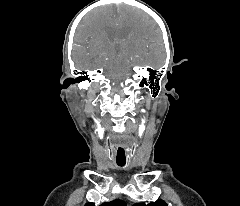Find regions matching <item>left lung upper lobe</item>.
Here are the masks:
<instances>
[{
	"label": "left lung upper lobe",
	"instance_id": "left-lung-upper-lobe-1",
	"mask_svg": "<svg viewBox=\"0 0 240 206\" xmlns=\"http://www.w3.org/2000/svg\"><path fill=\"white\" fill-rule=\"evenodd\" d=\"M133 206H167V204L163 200H157L156 202H152V203H149V204L136 203Z\"/></svg>",
	"mask_w": 240,
	"mask_h": 206
}]
</instances>
